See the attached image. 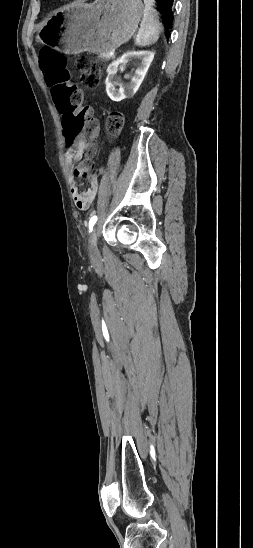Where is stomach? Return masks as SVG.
<instances>
[{"label": "stomach", "instance_id": "1", "mask_svg": "<svg viewBox=\"0 0 253 548\" xmlns=\"http://www.w3.org/2000/svg\"><path fill=\"white\" fill-rule=\"evenodd\" d=\"M144 13L141 0H95L53 15L37 40L66 54L111 53L129 41Z\"/></svg>", "mask_w": 253, "mask_h": 548}]
</instances>
